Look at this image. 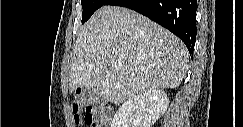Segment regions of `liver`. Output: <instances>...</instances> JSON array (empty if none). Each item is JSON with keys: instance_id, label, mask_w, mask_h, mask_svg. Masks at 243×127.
<instances>
[{"instance_id": "liver-1", "label": "liver", "mask_w": 243, "mask_h": 127, "mask_svg": "<svg viewBox=\"0 0 243 127\" xmlns=\"http://www.w3.org/2000/svg\"><path fill=\"white\" fill-rule=\"evenodd\" d=\"M188 58L184 43L162 26L133 10L103 6L73 45L69 92L90 87L120 104L154 89L176 88Z\"/></svg>"}]
</instances>
